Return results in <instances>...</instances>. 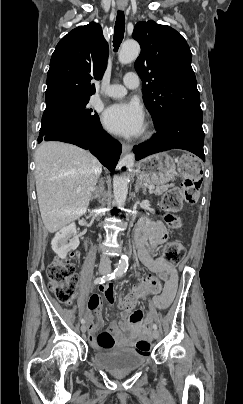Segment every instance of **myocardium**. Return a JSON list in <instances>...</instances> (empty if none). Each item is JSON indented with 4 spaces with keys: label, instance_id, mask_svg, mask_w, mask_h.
I'll list each match as a JSON object with an SVG mask.
<instances>
[{
    "label": "myocardium",
    "instance_id": "myocardium-1",
    "mask_svg": "<svg viewBox=\"0 0 243 404\" xmlns=\"http://www.w3.org/2000/svg\"><path fill=\"white\" fill-rule=\"evenodd\" d=\"M151 134H152V131L150 130V131L146 134L145 139L150 138Z\"/></svg>",
    "mask_w": 243,
    "mask_h": 404
}]
</instances>
